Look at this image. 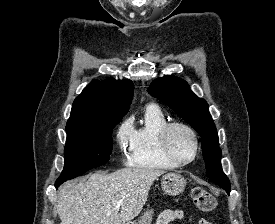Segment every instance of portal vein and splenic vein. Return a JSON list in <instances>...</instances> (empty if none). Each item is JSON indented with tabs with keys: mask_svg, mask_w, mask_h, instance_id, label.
<instances>
[{
	"mask_svg": "<svg viewBox=\"0 0 275 224\" xmlns=\"http://www.w3.org/2000/svg\"><path fill=\"white\" fill-rule=\"evenodd\" d=\"M123 204L122 200L117 201L116 203V207L119 208L121 205Z\"/></svg>",
	"mask_w": 275,
	"mask_h": 224,
	"instance_id": "18ae733b",
	"label": "portal vein and splenic vein"
}]
</instances>
